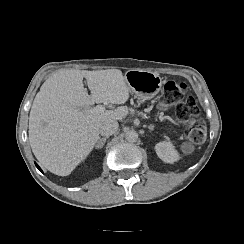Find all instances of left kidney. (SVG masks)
<instances>
[{
    "label": "left kidney",
    "mask_w": 244,
    "mask_h": 244,
    "mask_svg": "<svg viewBox=\"0 0 244 244\" xmlns=\"http://www.w3.org/2000/svg\"><path fill=\"white\" fill-rule=\"evenodd\" d=\"M157 156L166 163H172L178 158V153L173 151L172 144L161 142L155 146Z\"/></svg>",
    "instance_id": "1"
}]
</instances>
